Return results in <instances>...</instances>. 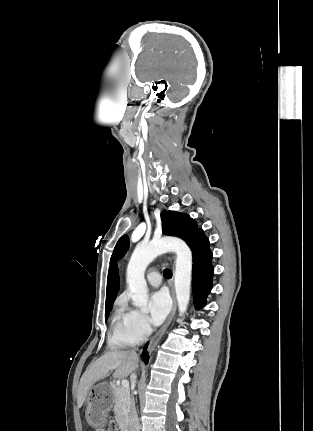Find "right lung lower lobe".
<instances>
[{"label":"right lung lower lobe","instance_id":"98d812e1","mask_svg":"<svg viewBox=\"0 0 313 431\" xmlns=\"http://www.w3.org/2000/svg\"><path fill=\"white\" fill-rule=\"evenodd\" d=\"M146 349H147V344H146V345H145V347H144V351H143V353H142V359H143V361H144L145 363H148L149 356H148V353H147Z\"/></svg>","mask_w":313,"mask_h":431}]
</instances>
